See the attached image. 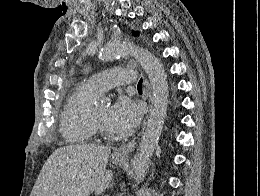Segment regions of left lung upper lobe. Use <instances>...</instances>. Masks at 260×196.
Wrapping results in <instances>:
<instances>
[{"label": "left lung upper lobe", "mask_w": 260, "mask_h": 196, "mask_svg": "<svg viewBox=\"0 0 260 196\" xmlns=\"http://www.w3.org/2000/svg\"><path fill=\"white\" fill-rule=\"evenodd\" d=\"M133 34H134V36L139 35L138 32H136V31H133ZM176 105H177V101L175 100L174 103H173V106H176ZM175 121H176V118H175V116H173L172 117V123L175 122Z\"/></svg>", "instance_id": "1"}]
</instances>
